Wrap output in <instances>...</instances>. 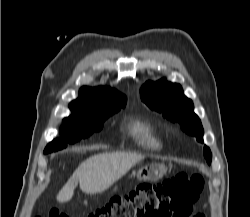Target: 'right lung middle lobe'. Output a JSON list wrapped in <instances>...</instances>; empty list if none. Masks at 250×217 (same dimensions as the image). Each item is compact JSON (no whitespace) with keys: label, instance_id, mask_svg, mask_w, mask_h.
Listing matches in <instances>:
<instances>
[{"label":"right lung middle lobe","instance_id":"dd1d6c3e","mask_svg":"<svg viewBox=\"0 0 250 217\" xmlns=\"http://www.w3.org/2000/svg\"><path fill=\"white\" fill-rule=\"evenodd\" d=\"M117 111L118 110L102 113L87 121L63 122V125L60 129V134L63 138H57L50 142L46 146L44 154L66 148L67 143H75L81 138H86L93 132L101 130L104 121Z\"/></svg>","mask_w":250,"mask_h":217}]
</instances>
